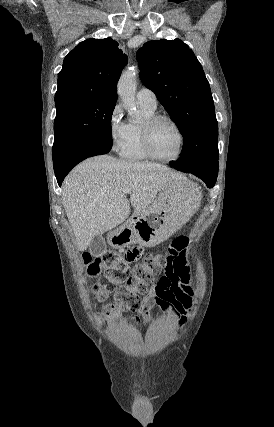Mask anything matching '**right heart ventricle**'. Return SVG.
I'll use <instances>...</instances> for the list:
<instances>
[{
  "label": "right heart ventricle",
  "instance_id": "obj_1",
  "mask_svg": "<svg viewBox=\"0 0 274 427\" xmlns=\"http://www.w3.org/2000/svg\"><path fill=\"white\" fill-rule=\"evenodd\" d=\"M142 119L139 122L127 124L126 136L120 147L119 155L123 160L132 162H146L151 160L144 152L141 144V125L143 121L155 115V110L141 107Z\"/></svg>",
  "mask_w": 274,
  "mask_h": 427
}]
</instances>
